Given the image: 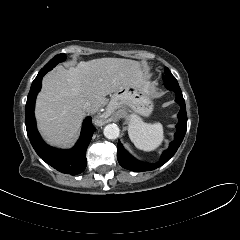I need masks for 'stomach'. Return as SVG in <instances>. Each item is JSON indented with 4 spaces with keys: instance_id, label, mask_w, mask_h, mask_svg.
Masks as SVG:
<instances>
[{
    "instance_id": "1",
    "label": "stomach",
    "mask_w": 240,
    "mask_h": 240,
    "mask_svg": "<svg viewBox=\"0 0 240 240\" xmlns=\"http://www.w3.org/2000/svg\"><path fill=\"white\" fill-rule=\"evenodd\" d=\"M126 107L140 115L149 116L153 110V104L148 87L127 86L114 92L111 96L109 109L114 111Z\"/></svg>"
}]
</instances>
